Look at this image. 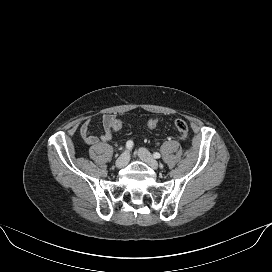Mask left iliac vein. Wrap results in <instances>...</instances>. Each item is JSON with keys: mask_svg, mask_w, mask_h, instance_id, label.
Returning a JSON list of instances; mask_svg holds the SVG:
<instances>
[{"mask_svg": "<svg viewBox=\"0 0 272 272\" xmlns=\"http://www.w3.org/2000/svg\"><path fill=\"white\" fill-rule=\"evenodd\" d=\"M138 156L143 162H145L152 169L154 170L158 169L159 167L158 162L154 159V157L151 155V153L147 149L140 148L138 150Z\"/></svg>", "mask_w": 272, "mask_h": 272, "instance_id": "1", "label": "left iliac vein"}]
</instances>
